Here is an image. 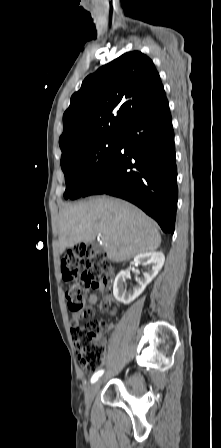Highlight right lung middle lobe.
I'll return each instance as SVG.
<instances>
[{
  "mask_svg": "<svg viewBox=\"0 0 221 448\" xmlns=\"http://www.w3.org/2000/svg\"><path fill=\"white\" fill-rule=\"evenodd\" d=\"M117 140L118 135L98 138L61 158V168L66 181L65 199L73 200L83 195L112 156Z\"/></svg>",
  "mask_w": 221,
  "mask_h": 448,
  "instance_id": "1",
  "label": "right lung middle lobe"
}]
</instances>
